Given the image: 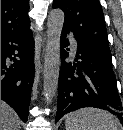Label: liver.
<instances>
[{
  "instance_id": "obj_1",
  "label": "liver",
  "mask_w": 123,
  "mask_h": 130,
  "mask_svg": "<svg viewBox=\"0 0 123 130\" xmlns=\"http://www.w3.org/2000/svg\"><path fill=\"white\" fill-rule=\"evenodd\" d=\"M1 130H20V119L16 112L1 100Z\"/></svg>"
}]
</instances>
